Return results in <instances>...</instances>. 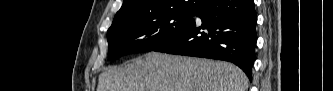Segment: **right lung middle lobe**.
Segmentation results:
<instances>
[{"mask_svg": "<svg viewBox=\"0 0 333 91\" xmlns=\"http://www.w3.org/2000/svg\"><path fill=\"white\" fill-rule=\"evenodd\" d=\"M194 15L195 12H161L112 24L107 31L108 58L113 61L123 55L152 51L184 28Z\"/></svg>", "mask_w": 333, "mask_h": 91, "instance_id": "obj_1", "label": "right lung middle lobe"}]
</instances>
